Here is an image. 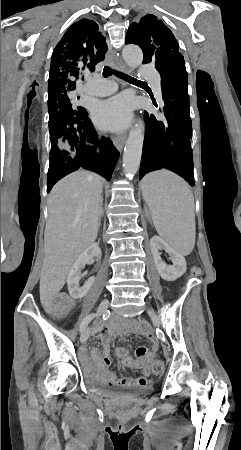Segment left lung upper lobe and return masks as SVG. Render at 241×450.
I'll list each match as a JSON object with an SVG mask.
<instances>
[{"mask_svg":"<svg viewBox=\"0 0 241 450\" xmlns=\"http://www.w3.org/2000/svg\"><path fill=\"white\" fill-rule=\"evenodd\" d=\"M125 43L138 45L143 51V63H155L159 73L169 69L178 71L185 64L173 33L152 14L130 24Z\"/></svg>","mask_w":241,"mask_h":450,"instance_id":"5c2ea615","label":"left lung upper lobe"}]
</instances>
